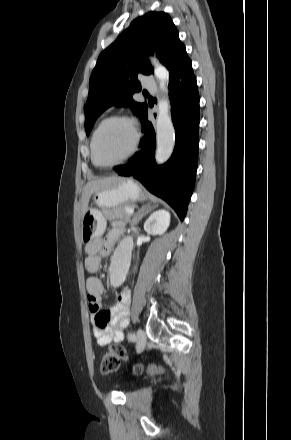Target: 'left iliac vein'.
Masks as SVG:
<instances>
[{
	"mask_svg": "<svg viewBox=\"0 0 291 440\" xmlns=\"http://www.w3.org/2000/svg\"><path fill=\"white\" fill-rule=\"evenodd\" d=\"M136 336H137V340H136L137 351L141 352L146 345L145 332L142 329H138L136 332Z\"/></svg>",
	"mask_w": 291,
	"mask_h": 440,
	"instance_id": "obj_1",
	"label": "left iliac vein"
}]
</instances>
